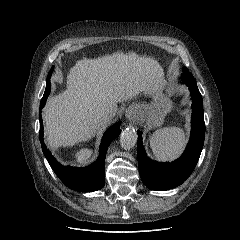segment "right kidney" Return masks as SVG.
Instances as JSON below:
<instances>
[{
	"mask_svg": "<svg viewBox=\"0 0 240 240\" xmlns=\"http://www.w3.org/2000/svg\"><path fill=\"white\" fill-rule=\"evenodd\" d=\"M91 154H92V152L90 150L82 149L77 153L76 157L79 162H84L90 158Z\"/></svg>",
	"mask_w": 240,
	"mask_h": 240,
	"instance_id": "right-kidney-1",
	"label": "right kidney"
}]
</instances>
